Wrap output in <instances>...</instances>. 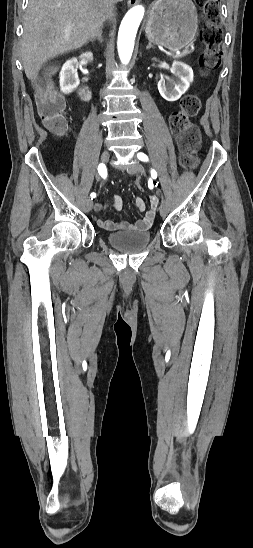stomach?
<instances>
[{"mask_svg":"<svg viewBox=\"0 0 253 548\" xmlns=\"http://www.w3.org/2000/svg\"><path fill=\"white\" fill-rule=\"evenodd\" d=\"M197 27V11L191 0H158L149 13L145 33L151 42L178 50L193 41Z\"/></svg>","mask_w":253,"mask_h":548,"instance_id":"stomach-1","label":"stomach"}]
</instances>
